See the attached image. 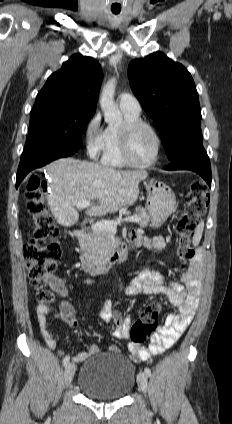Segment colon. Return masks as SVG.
Masks as SVG:
<instances>
[{
	"label": "colon",
	"instance_id": "5ec220e1",
	"mask_svg": "<svg viewBox=\"0 0 232 424\" xmlns=\"http://www.w3.org/2000/svg\"><path fill=\"white\" fill-rule=\"evenodd\" d=\"M25 197L34 223V235L25 245L23 256L30 283L37 289L38 301L48 305L54 301V293L48 286L52 288L55 282L52 273L59 259L56 241L60 232L49 213L44 196V182L39 176L33 175L28 179ZM208 203L209 197L203 182L192 181L187 196V207L177 223V255L183 266L194 256L191 240ZM162 308V301L155 300L144 309L130 329L132 343L140 345L151 336L158 325Z\"/></svg>",
	"mask_w": 232,
	"mask_h": 424
}]
</instances>
